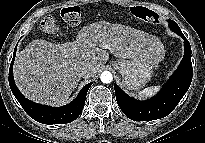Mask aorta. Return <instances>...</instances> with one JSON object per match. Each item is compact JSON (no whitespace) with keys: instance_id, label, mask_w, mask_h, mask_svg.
I'll return each mask as SVG.
<instances>
[{"instance_id":"1","label":"aorta","mask_w":205,"mask_h":143,"mask_svg":"<svg viewBox=\"0 0 205 143\" xmlns=\"http://www.w3.org/2000/svg\"><path fill=\"white\" fill-rule=\"evenodd\" d=\"M100 79L103 83H111L113 80V75L110 71H104L101 73Z\"/></svg>"}]
</instances>
